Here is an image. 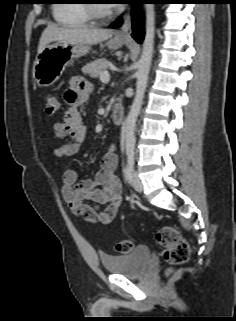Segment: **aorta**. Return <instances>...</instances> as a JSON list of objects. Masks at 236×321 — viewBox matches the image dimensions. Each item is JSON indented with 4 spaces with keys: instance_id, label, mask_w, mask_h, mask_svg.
Instances as JSON below:
<instances>
[{
    "instance_id": "1",
    "label": "aorta",
    "mask_w": 236,
    "mask_h": 321,
    "mask_svg": "<svg viewBox=\"0 0 236 321\" xmlns=\"http://www.w3.org/2000/svg\"><path fill=\"white\" fill-rule=\"evenodd\" d=\"M145 38L140 59L138 61V69L136 76V92L130 109L125 120V147L127 151H133L135 147V128L138 115L141 111L144 93L147 87L148 75L150 72L155 37V5L145 4Z\"/></svg>"
}]
</instances>
